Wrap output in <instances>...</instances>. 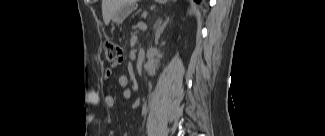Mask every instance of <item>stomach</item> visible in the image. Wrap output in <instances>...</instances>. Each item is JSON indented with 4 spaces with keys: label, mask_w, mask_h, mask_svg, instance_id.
I'll use <instances>...</instances> for the list:
<instances>
[{
    "label": "stomach",
    "mask_w": 325,
    "mask_h": 136,
    "mask_svg": "<svg viewBox=\"0 0 325 136\" xmlns=\"http://www.w3.org/2000/svg\"><path fill=\"white\" fill-rule=\"evenodd\" d=\"M160 3H165L166 0H157ZM138 1H129V3L123 5L120 9H118L112 16V21L114 23L120 24L124 21V19L131 15L132 12H135L136 8H138Z\"/></svg>",
    "instance_id": "stomach-1"
}]
</instances>
